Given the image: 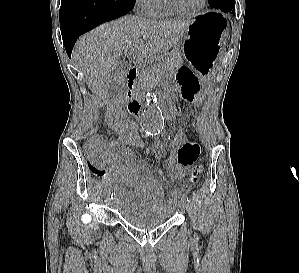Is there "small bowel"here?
Instances as JSON below:
<instances>
[{"instance_id": "c3829d8e", "label": "small bowel", "mask_w": 299, "mask_h": 273, "mask_svg": "<svg viewBox=\"0 0 299 273\" xmlns=\"http://www.w3.org/2000/svg\"><path fill=\"white\" fill-rule=\"evenodd\" d=\"M105 118L111 129L123 132L121 137L126 141L130 142L139 135L137 125L125 120L120 110L109 109ZM199 154L198 144L188 139L179 145L169 147L165 155L171 183L177 182L189 172ZM132 156L128 145L118 150L106 151L104 154V161L111 166L115 174L113 184L117 193L122 197V208L144 216L150 215L159 208H172L179 197L178 193L166 195L158 180L150 176H141L139 163L128 165L118 163V159Z\"/></svg>"}]
</instances>
